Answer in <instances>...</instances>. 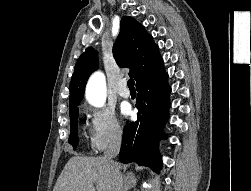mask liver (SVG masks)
<instances>
[{
	"label": "liver",
	"mask_w": 251,
	"mask_h": 191,
	"mask_svg": "<svg viewBox=\"0 0 251 191\" xmlns=\"http://www.w3.org/2000/svg\"><path fill=\"white\" fill-rule=\"evenodd\" d=\"M120 169L122 163L117 161L73 155L62 169L53 191H96V187L97 191H116V175Z\"/></svg>",
	"instance_id": "6515ba94"
}]
</instances>
